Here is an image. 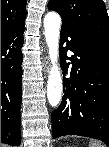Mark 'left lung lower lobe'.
<instances>
[{
  "label": "left lung lower lobe",
  "instance_id": "0a47b994",
  "mask_svg": "<svg viewBox=\"0 0 109 147\" xmlns=\"http://www.w3.org/2000/svg\"><path fill=\"white\" fill-rule=\"evenodd\" d=\"M60 46L64 96L52 112V137L79 135L109 146V43L62 23ZM67 50L74 53L70 78Z\"/></svg>",
  "mask_w": 109,
  "mask_h": 147
}]
</instances>
